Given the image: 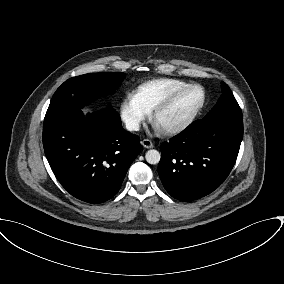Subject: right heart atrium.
Segmentation results:
<instances>
[{"instance_id": "right-heart-atrium-1", "label": "right heart atrium", "mask_w": 284, "mask_h": 284, "mask_svg": "<svg viewBox=\"0 0 284 284\" xmlns=\"http://www.w3.org/2000/svg\"><path fill=\"white\" fill-rule=\"evenodd\" d=\"M120 118L129 131L139 129L141 123L147 118V110L138 102L134 94H127L120 104Z\"/></svg>"}]
</instances>
